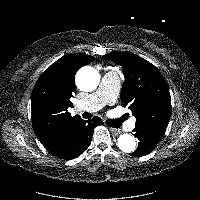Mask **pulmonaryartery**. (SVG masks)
Instances as JSON below:
<instances>
[{"label":"pulmonary artery","mask_w":200,"mask_h":200,"mask_svg":"<svg viewBox=\"0 0 200 200\" xmlns=\"http://www.w3.org/2000/svg\"><path fill=\"white\" fill-rule=\"evenodd\" d=\"M120 87L121 82L117 73L112 71L106 72L102 76L98 90L89 95L84 102L79 103L77 108L79 110L90 108L91 111H97L105 105H110L116 100ZM134 124V120L129 122L130 127H133Z\"/></svg>","instance_id":"pulmonary-artery-1"}]
</instances>
